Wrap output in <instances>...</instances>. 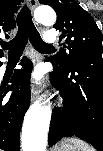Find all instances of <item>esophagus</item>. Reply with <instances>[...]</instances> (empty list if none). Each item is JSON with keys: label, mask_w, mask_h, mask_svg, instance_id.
<instances>
[{"label": "esophagus", "mask_w": 103, "mask_h": 151, "mask_svg": "<svg viewBox=\"0 0 103 151\" xmlns=\"http://www.w3.org/2000/svg\"><path fill=\"white\" fill-rule=\"evenodd\" d=\"M29 8L33 11L37 6V0H28ZM41 88L37 83H33L31 86V101H35L38 98Z\"/></svg>", "instance_id": "1"}]
</instances>
